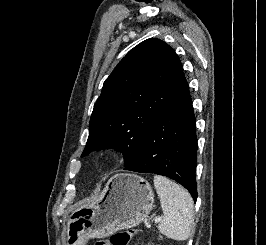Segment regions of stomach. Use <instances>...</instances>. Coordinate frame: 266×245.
Listing matches in <instances>:
<instances>
[{
  "label": "stomach",
  "mask_w": 266,
  "mask_h": 245,
  "mask_svg": "<svg viewBox=\"0 0 266 245\" xmlns=\"http://www.w3.org/2000/svg\"><path fill=\"white\" fill-rule=\"evenodd\" d=\"M153 203L148 181L131 173L113 175L93 205L72 213L67 223V245H86L88 239L133 229L149 215Z\"/></svg>",
  "instance_id": "1"
}]
</instances>
